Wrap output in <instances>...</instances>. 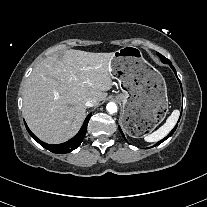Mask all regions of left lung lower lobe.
Here are the masks:
<instances>
[{
  "mask_svg": "<svg viewBox=\"0 0 207 207\" xmlns=\"http://www.w3.org/2000/svg\"><path fill=\"white\" fill-rule=\"evenodd\" d=\"M162 62H163V63H169V64H170V67L173 69L174 73L176 74V71H175L174 67L172 66V64H171V62H170L169 60H163ZM176 76H177V74H176ZM177 78H178V77H177ZM180 84H181V83H180ZM177 126H178V124L174 127V129L170 132V134H169L166 138H164L161 142H163V141H165L167 138H169V137L174 133V131L176 130ZM119 130H120L121 134H122L123 137H124V134H123V132H122V130H121L120 127H119ZM161 142H158V143L155 144L154 146L159 145Z\"/></svg>",
  "mask_w": 207,
  "mask_h": 207,
  "instance_id": "0a47b994",
  "label": "left lung lower lobe"
}]
</instances>
